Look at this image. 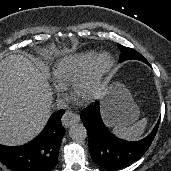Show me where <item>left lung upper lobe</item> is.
<instances>
[{
    "mask_svg": "<svg viewBox=\"0 0 171 171\" xmlns=\"http://www.w3.org/2000/svg\"><path fill=\"white\" fill-rule=\"evenodd\" d=\"M118 47L121 51V56L119 59L120 62H123L125 60H129V59H136V60H140L142 62H146L147 64H149L147 62V60L140 53H138L136 50L122 46L120 44H118Z\"/></svg>",
    "mask_w": 171,
    "mask_h": 171,
    "instance_id": "obj_1",
    "label": "left lung upper lobe"
}]
</instances>
